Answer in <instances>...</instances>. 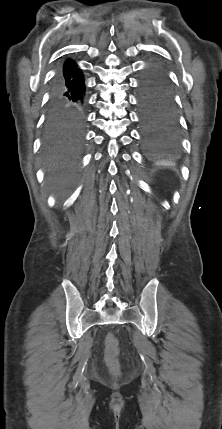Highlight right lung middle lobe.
I'll use <instances>...</instances> for the list:
<instances>
[{
  "mask_svg": "<svg viewBox=\"0 0 222 429\" xmlns=\"http://www.w3.org/2000/svg\"><path fill=\"white\" fill-rule=\"evenodd\" d=\"M66 135L61 133L59 130L52 128L46 123V142L49 145H56L66 139Z\"/></svg>",
  "mask_w": 222,
  "mask_h": 429,
  "instance_id": "right-lung-middle-lobe-1",
  "label": "right lung middle lobe"
}]
</instances>
